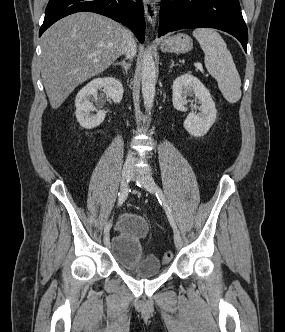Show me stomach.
I'll return each instance as SVG.
<instances>
[{"label": "stomach", "instance_id": "0dacf381", "mask_svg": "<svg viewBox=\"0 0 285 332\" xmlns=\"http://www.w3.org/2000/svg\"><path fill=\"white\" fill-rule=\"evenodd\" d=\"M160 48L163 52L187 53L192 50L193 41L187 34L178 33L163 39Z\"/></svg>", "mask_w": 285, "mask_h": 332}]
</instances>
